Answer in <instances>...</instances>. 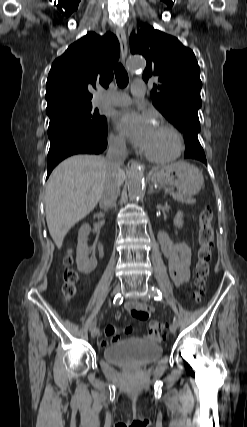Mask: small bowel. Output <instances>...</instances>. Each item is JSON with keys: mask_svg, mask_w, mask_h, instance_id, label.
Segmentation results:
<instances>
[{"mask_svg": "<svg viewBox=\"0 0 247 427\" xmlns=\"http://www.w3.org/2000/svg\"><path fill=\"white\" fill-rule=\"evenodd\" d=\"M158 241L164 256L168 260L169 272L175 285H181L188 281L190 278L192 255V249L189 243L186 241L172 242L164 231L159 232ZM125 309L133 318L141 321L147 320L154 311L152 307L137 301L126 302ZM121 317V312L118 311L115 313V318L117 320L121 319ZM124 332L127 334L131 333L132 328L127 326L124 328ZM149 338L155 341L159 340L151 336H149ZM108 339H110L112 343H118L120 341L117 329L113 325H108L105 328V338L101 340L100 344L106 346L108 344Z\"/></svg>", "mask_w": 247, "mask_h": 427, "instance_id": "small-bowel-1", "label": "small bowel"}]
</instances>
